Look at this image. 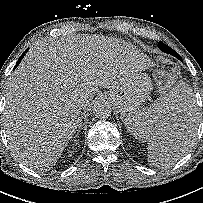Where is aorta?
<instances>
[{
	"instance_id": "obj_1",
	"label": "aorta",
	"mask_w": 203,
	"mask_h": 203,
	"mask_svg": "<svg viewBox=\"0 0 203 203\" xmlns=\"http://www.w3.org/2000/svg\"><path fill=\"white\" fill-rule=\"evenodd\" d=\"M93 112L98 118L104 119L111 115L112 106L106 100L98 101L96 104H94Z\"/></svg>"
}]
</instances>
